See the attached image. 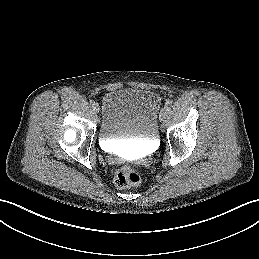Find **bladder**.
Returning a JSON list of instances; mask_svg holds the SVG:
<instances>
[{"label": "bladder", "instance_id": "31cf9c89", "mask_svg": "<svg viewBox=\"0 0 259 259\" xmlns=\"http://www.w3.org/2000/svg\"><path fill=\"white\" fill-rule=\"evenodd\" d=\"M161 100L148 89L123 88L108 92L102 100L99 137L103 142L148 145L157 137Z\"/></svg>", "mask_w": 259, "mask_h": 259}]
</instances>
